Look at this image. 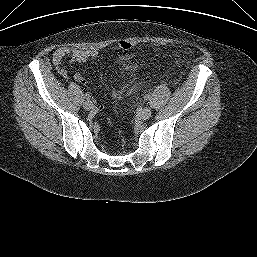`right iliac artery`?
<instances>
[{"label": "right iliac artery", "mask_w": 257, "mask_h": 257, "mask_svg": "<svg viewBox=\"0 0 257 257\" xmlns=\"http://www.w3.org/2000/svg\"><path fill=\"white\" fill-rule=\"evenodd\" d=\"M90 94H88V93H85V98L87 99V100H89L90 99Z\"/></svg>", "instance_id": "1"}]
</instances>
